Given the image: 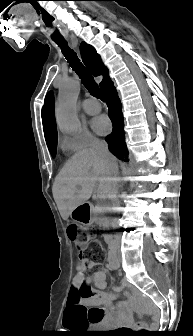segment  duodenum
Instances as JSON below:
<instances>
[{
    "mask_svg": "<svg viewBox=\"0 0 193 336\" xmlns=\"http://www.w3.org/2000/svg\"><path fill=\"white\" fill-rule=\"evenodd\" d=\"M109 240H112L111 237H108ZM115 259H116V256H115V252H114V248L111 247L110 249V261H111V267L112 268H116V263H115ZM119 261V259H117V262ZM136 304L137 305H141L142 304V300L141 299H136Z\"/></svg>",
    "mask_w": 193,
    "mask_h": 336,
    "instance_id": "410a0bca",
    "label": "duodenum"
}]
</instances>
